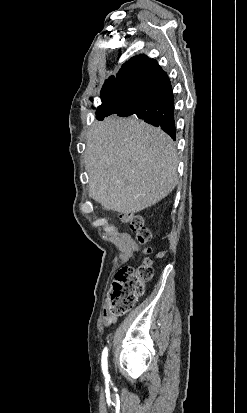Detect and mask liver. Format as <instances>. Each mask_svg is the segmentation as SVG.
Segmentation results:
<instances>
[{
	"mask_svg": "<svg viewBox=\"0 0 247 413\" xmlns=\"http://www.w3.org/2000/svg\"><path fill=\"white\" fill-rule=\"evenodd\" d=\"M85 164L89 196L122 215L152 207L178 180V156L169 134L133 116L93 122Z\"/></svg>",
	"mask_w": 247,
	"mask_h": 413,
	"instance_id": "6515ba94",
	"label": "liver"
}]
</instances>
